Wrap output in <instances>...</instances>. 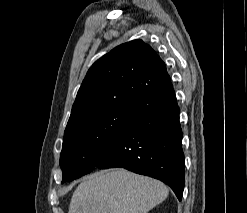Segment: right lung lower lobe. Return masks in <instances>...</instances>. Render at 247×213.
<instances>
[{
  "mask_svg": "<svg viewBox=\"0 0 247 213\" xmlns=\"http://www.w3.org/2000/svg\"><path fill=\"white\" fill-rule=\"evenodd\" d=\"M130 102L128 118L101 150L95 168L120 167L159 179L181 200L184 188L182 130L171 81Z\"/></svg>",
  "mask_w": 247,
  "mask_h": 213,
  "instance_id": "1",
  "label": "right lung lower lobe"
}]
</instances>
